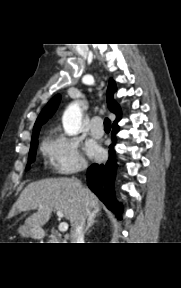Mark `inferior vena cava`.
<instances>
[{
    "instance_id": "1",
    "label": "inferior vena cava",
    "mask_w": 181,
    "mask_h": 288,
    "mask_svg": "<svg viewBox=\"0 0 181 288\" xmlns=\"http://www.w3.org/2000/svg\"><path fill=\"white\" fill-rule=\"evenodd\" d=\"M86 169V165L82 166V170ZM89 213L88 208L84 205L82 212L78 220L75 222V225L71 229L70 240L71 243H84V226L85 219Z\"/></svg>"
}]
</instances>
